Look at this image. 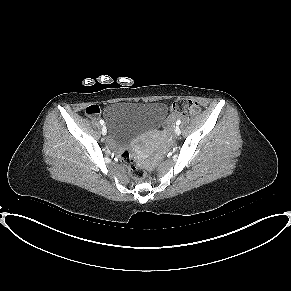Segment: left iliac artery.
<instances>
[{
  "label": "left iliac artery",
  "instance_id": "1",
  "mask_svg": "<svg viewBox=\"0 0 291 291\" xmlns=\"http://www.w3.org/2000/svg\"><path fill=\"white\" fill-rule=\"evenodd\" d=\"M180 123H181V120L178 119V120L176 121V125H180Z\"/></svg>",
  "mask_w": 291,
  "mask_h": 291
}]
</instances>
